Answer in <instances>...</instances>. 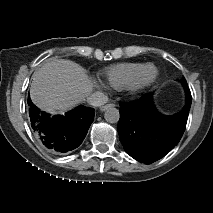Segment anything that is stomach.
I'll list each match as a JSON object with an SVG mask.
<instances>
[{
    "label": "stomach",
    "instance_id": "1",
    "mask_svg": "<svg viewBox=\"0 0 213 213\" xmlns=\"http://www.w3.org/2000/svg\"><path fill=\"white\" fill-rule=\"evenodd\" d=\"M160 103H161V105L163 106V102L161 101Z\"/></svg>",
    "mask_w": 213,
    "mask_h": 213
}]
</instances>
